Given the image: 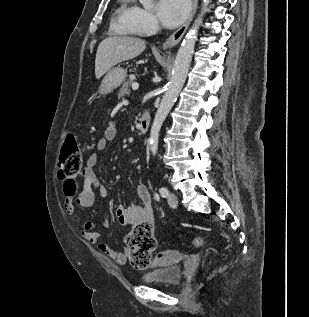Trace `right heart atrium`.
<instances>
[{"label": "right heart atrium", "instance_id": "1", "mask_svg": "<svg viewBox=\"0 0 309 317\" xmlns=\"http://www.w3.org/2000/svg\"><path fill=\"white\" fill-rule=\"evenodd\" d=\"M130 22L137 31L142 33L153 31L158 27L155 15L139 6L133 7Z\"/></svg>", "mask_w": 309, "mask_h": 317}]
</instances>
